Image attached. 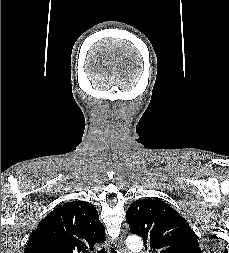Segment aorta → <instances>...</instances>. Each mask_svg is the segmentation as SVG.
<instances>
[{
	"label": "aorta",
	"mask_w": 229,
	"mask_h": 253,
	"mask_svg": "<svg viewBox=\"0 0 229 253\" xmlns=\"http://www.w3.org/2000/svg\"><path fill=\"white\" fill-rule=\"evenodd\" d=\"M128 248L131 251L139 252L143 247L142 240L137 236H131L126 241Z\"/></svg>",
	"instance_id": "obj_1"
}]
</instances>
